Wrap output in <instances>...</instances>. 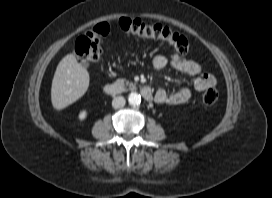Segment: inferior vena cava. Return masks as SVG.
Segmentation results:
<instances>
[{"label": "inferior vena cava", "instance_id": "obj_1", "mask_svg": "<svg viewBox=\"0 0 272 198\" xmlns=\"http://www.w3.org/2000/svg\"><path fill=\"white\" fill-rule=\"evenodd\" d=\"M126 103V100L122 96L114 97L112 100V107L115 109L122 108Z\"/></svg>", "mask_w": 272, "mask_h": 198}]
</instances>
